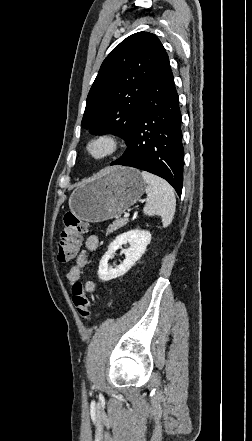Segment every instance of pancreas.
<instances>
[{"instance_id":"cf45deb5","label":"pancreas","mask_w":252,"mask_h":441,"mask_svg":"<svg viewBox=\"0 0 252 441\" xmlns=\"http://www.w3.org/2000/svg\"><path fill=\"white\" fill-rule=\"evenodd\" d=\"M127 224V220L125 219H119L116 220L113 224H110L109 227L106 230L107 234H110L116 230H118L121 227H124Z\"/></svg>"}]
</instances>
